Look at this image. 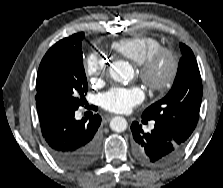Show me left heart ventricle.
<instances>
[{
    "instance_id": "b2bd125f",
    "label": "left heart ventricle",
    "mask_w": 223,
    "mask_h": 188,
    "mask_svg": "<svg viewBox=\"0 0 223 188\" xmlns=\"http://www.w3.org/2000/svg\"><path fill=\"white\" fill-rule=\"evenodd\" d=\"M167 71H168V61L165 59L160 63V65L157 69V72H158V74L163 76L167 73Z\"/></svg>"
}]
</instances>
